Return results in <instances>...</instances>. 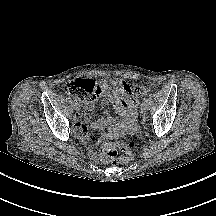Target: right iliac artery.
<instances>
[{
	"label": "right iliac artery",
	"mask_w": 216,
	"mask_h": 216,
	"mask_svg": "<svg viewBox=\"0 0 216 216\" xmlns=\"http://www.w3.org/2000/svg\"><path fill=\"white\" fill-rule=\"evenodd\" d=\"M74 104H79V99H74Z\"/></svg>",
	"instance_id": "1"
}]
</instances>
